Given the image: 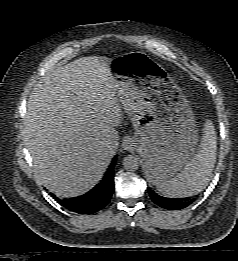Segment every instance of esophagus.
I'll use <instances>...</instances> for the list:
<instances>
[{
	"mask_svg": "<svg viewBox=\"0 0 238 261\" xmlns=\"http://www.w3.org/2000/svg\"><path fill=\"white\" fill-rule=\"evenodd\" d=\"M127 147L126 148H129V143H128V145H126Z\"/></svg>",
	"mask_w": 238,
	"mask_h": 261,
	"instance_id": "obj_1",
	"label": "esophagus"
}]
</instances>
